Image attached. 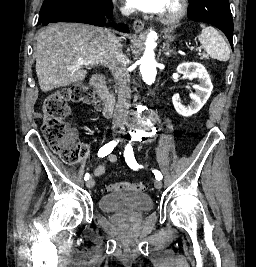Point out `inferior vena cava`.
Returning a JSON list of instances; mask_svg holds the SVG:
<instances>
[{"mask_svg":"<svg viewBox=\"0 0 256 267\" xmlns=\"http://www.w3.org/2000/svg\"><path fill=\"white\" fill-rule=\"evenodd\" d=\"M122 16H130L131 8H120ZM111 42L109 48V70H112L114 80L118 90V100L113 114V128H123L127 110L130 108L131 88L130 74L127 72L126 64L122 58L123 54L120 48L121 40H117L114 34H109Z\"/></svg>","mask_w":256,"mask_h":267,"instance_id":"inferior-vena-cava-1","label":"inferior vena cava"}]
</instances>
